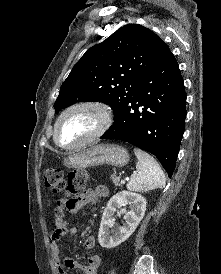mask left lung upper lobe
<instances>
[{"label": "left lung upper lobe", "instance_id": "obj_1", "mask_svg": "<svg viewBox=\"0 0 221 274\" xmlns=\"http://www.w3.org/2000/svg\"><path fill=\"white\" fill-rule=\"evenodd\" d=\"M169 47L148 28L128 24L88 49L61 86L55 113L80 101H100L114 115L132 99L140 81Z\"/></svg>", "mask_w": 221, "mask_h": 274}]
</instances>
